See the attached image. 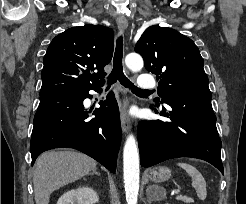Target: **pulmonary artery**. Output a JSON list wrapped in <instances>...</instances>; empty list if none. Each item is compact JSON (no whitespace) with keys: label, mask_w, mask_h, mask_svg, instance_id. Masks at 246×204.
<instances>
[{"label":"pulmonary artery","mask_w":246,"mask_h":204,"mask_svg":"<svg viewBox=\"0 0 246 204\" xmlns=\"http://www.w3.org/2000/svg\"><path fill=\"white\" fill-rule=\"evenodd\" d=\"M156 83L154 78L149 74H141L138 78V87L143 90L155 88Z\"/></svg>","instance_id":"pulmonary-artery-1"}]
</instances>
